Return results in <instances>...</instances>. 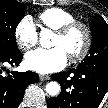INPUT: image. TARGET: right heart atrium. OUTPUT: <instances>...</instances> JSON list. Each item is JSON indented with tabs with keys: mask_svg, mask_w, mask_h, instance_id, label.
I'll return each mask as SVG.
<instances>
[{
	"mask_svg": "<svg viewBox=\"0 0 108 108\" xmlns=\"http://www.w3.org/2000/svg\"><path fill=\"white\" fill-rule=\"evenodd\" d=\"M14 37L21 50H29L38 43V32L29 16L23 17L16 25Z\"/></svg>",
	"mask_w": 108,
	"mask_h": 108,
	"instance_id": "1",
	"label": "right heart atrium"
}]
</instances>
